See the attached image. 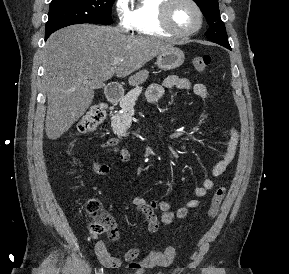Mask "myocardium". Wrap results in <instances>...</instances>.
<instances>
[{
    "label": "myocardium",
    "mask_w": 289,
    "mask_h": 274,
    "mask_svg": "<svg viewBox=\"0 0 289 274\" xmlns=\"http://www.w3.org/2000/svg\"><path fill=\"white\" fill-rule=\"evenodd\" d=\"M177 1L178 0H164L163 4L161 5V9H160V15H159L160 24L165 31H167L168 33H170L173 36L190 37V36L196 34L202 28L203 23H204L203 11L196 0H186L196 10L197 15H198V24L196 27H194L191 30H187V31L178 30L177 28L174 27V25L172 24V21H171V11H172L173 5Z\"/></svg>",
    "instance_id": "f54148a6"
}]
</instances>
